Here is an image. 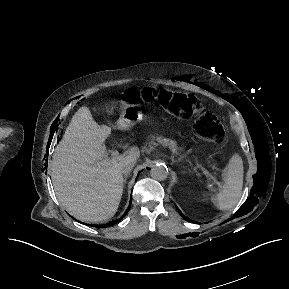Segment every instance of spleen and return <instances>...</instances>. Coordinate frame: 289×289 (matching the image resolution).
<instances>
[{
    "instance_id": "3e777b00",
    "label": "spleen",
    "mask_w": 289,
    "mask_h": 289,
    "mask_svg": "<svg viewBox=\"0 0 289 289\" xmlns=\"http://www.w3.org/2000/svg\"><path fill=\"white\" fill-rule=\"evenodd\" d=\"M243 161L235 154L223 171V182L212 202L221 211L232 209L239 201L243 187Z\"/></svg>"
}]
</instances>
